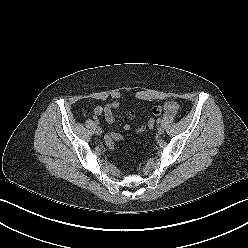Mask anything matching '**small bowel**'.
I'll return each mask as SVG.
<instances>
[{
	"label": "small bowel",
	"mask_w": 248,
	"mask_h": 248,
	"mask_svg": "<svg viewBox=\"0 0 248 248\" xmlns=\"http://www.w3.org/2000/svg\"><path fill=\"white\" fill-rule=\"evenodd\" d=\"M116 107H118V103L117 102H113L110 104H106L104 106L98 105L95 107L94 109V113L95 115L99 116V115H104L106 121L111 124L114 121V115H113V109H115ZM177 104L174 102H169L166 103L164 105H156L153 106L150 111L152 114L159 116L163 113H167V114H174L177 111ZM129 114L131 116H135V111L131 110L129 112ZM124 129L126 131H135L137 133H142L145 129H146V125H140L136 128H133L131 125L126 124L124 126Z\"/></svg>",
	"instance_id": "small-bowel-1"
}]
</instances>
